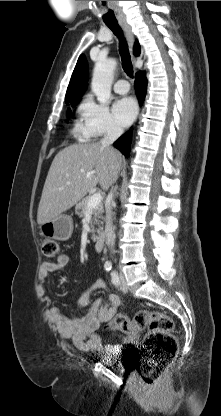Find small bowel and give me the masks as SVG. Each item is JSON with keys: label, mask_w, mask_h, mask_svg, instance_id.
<instances>
[{"label": "small bowel", "mask_w": 221, "mask_h": 416, "mask_svg": "<svg viewBox=\"0 0 221 416\" xmlns=\"http://www.w3.org/2000/svg\"><path fill=\"white\" fill-rule=\"evenodd\" d=\"M69 262L70 257L65 253H60L56 262L43 261L40 264L39 277L45 279L50 273L60 272ZM100 290H107V286L104 280L97 279L80 295L78 307L81 310L88 307L81 315L51 307L47 312V318L56 327L59 335L72 340L78 350L111 353L116 346L103 345L97 331L116 315L121 306V299L117 294L108 293L105 299L99 297L91 302L93 295ZM125 341L129 339L125 338Z\"/></svg>", "instance_id": "obj_1"}]
</instances>
